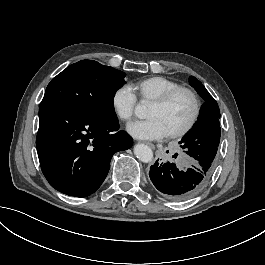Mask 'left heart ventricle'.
<instances>
[{
	"mask_svg": "<svg viewBox=\"0 0 265 265\" xmlns=\"http://www.w3.org/2000/svg\"><path fill=\"white\" fill-rule=\"evenodd\" d=\"M192 110L191 99L187 95L181 94L163 108H157L151 104L146 118L157 119L168 134L183 128L189 122Z\"/></svg>",
	"mask_w": 265,
	"mask_h": 265,
	"instance_id": "1",
	"label": "left heart ventricle"
}]
</instances>
